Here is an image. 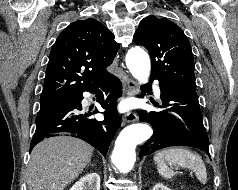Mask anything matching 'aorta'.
Instances as JSON below:
<instances>
[{
	"instance_id": "aorta-1",
	"label": "aorta",
	"mask_w": 238,
	"mask_h": 190,
	"mask_svg": "<svg viewBox=\"0 0 238 190\" xmlns=\"http://www.w3.org/2000/svg\"><path fill=\"white\" fill-rule=\"evenodd\" d=\"M126 65L131 74L144 84L150 73V59L140 47L131 48L126 55ZM152 135L151 128L144 123H134L119 134L112 152V162L122 173L130 171L136 160V146L147 141Z\"/></svg>"
}]
</instances>
